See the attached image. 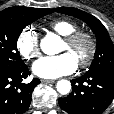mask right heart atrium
<instances>
[{"mask_svg": "<svg viewBox=\"0 0 114 114\" xmlns=\"http://www.w3.org/2000/svg\"><path fill=\"white\" fill-rule=\"evenodd\" d=\"M16 49L19 55L26 61L39 55V36L33 27L27 26L21 30L16 39Z\"/></svg>", "mask_w": 114, "mask_h": 114, "instance_id": "obj_1", "label": "right heart atrium"}]
</instances>
